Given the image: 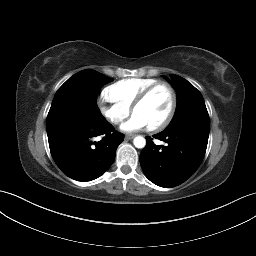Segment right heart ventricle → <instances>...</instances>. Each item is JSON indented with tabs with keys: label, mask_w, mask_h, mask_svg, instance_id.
Masks as SVG:
<instances>
[{
	"label": "right heart ventricle",
	"mask_w": 256,
	"mask_h": 256,
	"mask_svg": "<svg viewBox=\"0 0 256 256\" xmlns=\"http://www.w3.org/2000/svg\"><path fill=\"white\" fill-rule=\"evenodd\" d=\"M157 82L158 80L150 78L123 79L109 86L106 93L114 101L131 108L137 97Z\"/></svg>",
	"instance_id": "e07e8e85"
}]
</instances>
